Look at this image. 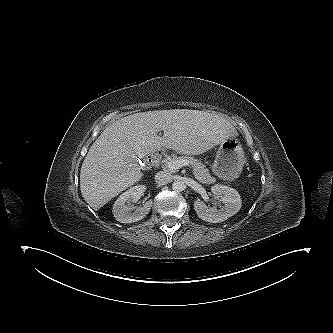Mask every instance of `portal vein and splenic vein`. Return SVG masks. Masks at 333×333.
<instances>
[{
	"label": "portal vein and splenic vein",
	"mask_w": 333,
	"mask_h": 333,
	"mask_svg": "<svg viewBox=\"0 0 333 333\" xmlns=\"http://www.w3.org/2000/svg\"><path fill=\"white\" fill-rule=\"evenodd\" d=\"M166 166L170 169V170H176L179 169L183 166H189V163L185 160H171L168 163H166Z\"/></svg>",
	"instance_id": "18ae733b"
}]
</instances>
